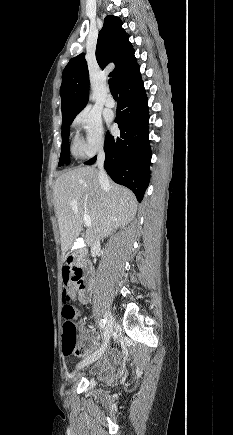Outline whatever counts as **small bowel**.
<instances>
[{"instance_id":"1","label":"small bowel","mask_w":233,"mask_h":435,"mask_svg":"<svg viewBox=\"0 0 233 435\" xmlns=\"http://www.w3.org/2000/svg\"><path fill=\"white\" fill-rule=\"evenodd\" d=\"M73 293L68 289H63V298H71ZM79 346L83 348L81 356H86L94 350L97 343L94 339V333L87 327L84 321H79ZM118 361L115 353H109L103 360L99 361L96 369L105 377L111 372L112 365Z\"/></svg>"}]
</instances>
